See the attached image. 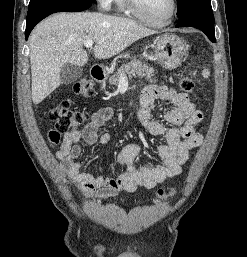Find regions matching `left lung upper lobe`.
Instances as JSON below:
<instances>
[{"label": "left lung upper lobe", "instance_id": "5c2ea615", "mask_svg": "<svg viewBox=\"0 0 247 257\" xmlns=\"http://www.w3.org/2000/svg\"><path fill=\"white\" fill-rule=\"evenodd\" d=\"M178 11L177 16H182L191 11H203L213 13L210 0H177Z\"/></svg>", "mask_w": 247, "mask_h": 257}]
</instances>
